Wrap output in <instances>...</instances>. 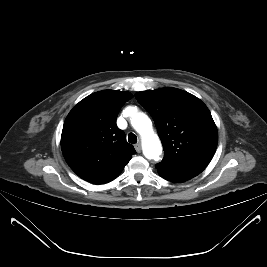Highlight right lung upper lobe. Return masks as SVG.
Listing matches in <instances>:
<instances>
[{"label":"right lung upper lobe","instance_id":"1","mask_svg":"<svg viewBox=\"0 0 267 267\" xmlns=\"http://www.w3.org/2000/svg\"><path fill=\"white\" fill-rule=\"evenodd\" d=\"M130 92L103 90L81 100L68 114L61 135L63 156L85 181L104 184L120 175L134 147L116 125Z\"/></svg>","mask_w":267,"mask_h":267}]
</instances>
